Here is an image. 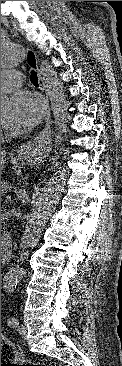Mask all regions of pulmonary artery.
<instances>
[{
  "mask_svg": "<svg viewBox=\"0 0 122 366\" xmlns=\"http://www.w3.org/2000/svg\"><path fill=\"white\" fill-rule=\"evenodd\" d=\"M22 86L21 73L14 70L1 71V93L17 90Z\"/></svg>",
  "mask_w": 122,
  "mask_h": 366,
  "instance_id": "e3ab8cb5",
  "label": "pulmonary artery"
}]
</instances>
